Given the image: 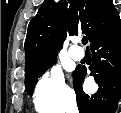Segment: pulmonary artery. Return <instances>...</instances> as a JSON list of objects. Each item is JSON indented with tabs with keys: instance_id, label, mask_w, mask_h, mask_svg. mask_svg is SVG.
I'll return each mask as SVG.
<instances>
[{
	"instance_id": "1",
	"label": "pulmonary artery",
	"mask_w": 121,
	"mask_h": 113,
	"mask_svg": "<svg viewBox=\"0 0 121 113\" xmlns=\"http://www.w3.org/2000/svg\"><path fill=\"white\" fill-rule=\"evenodd\" d=\"M69 52L71 58L76 61H80L84 57V51L82 49H79L77 45H72Z\"/></svg>"
}]
</instances>
